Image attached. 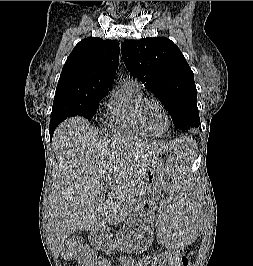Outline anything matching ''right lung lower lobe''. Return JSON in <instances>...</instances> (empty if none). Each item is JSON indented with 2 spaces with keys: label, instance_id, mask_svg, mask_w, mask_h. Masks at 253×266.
Returning a JSON list of instances; mask_svg holds the SVG:
<instances>
[{
  "label": "right lung lower lobe",
  "instance_id": "98d812e1",
  "mask_svg": "<svg viewBox=\"0 0 253 266\" xmlns=\"http://www.w3.org/2000/svg\"><path fill=\"white\" fill-rule=\"evenodd\" d=\"M59 123H55V124H50L49 127V132H50V139L52 140V136L54 133V130L56 129V127L58 126Z\"/></svg>",
  "mask_w": 253,
  "mask_h": 266
}]
</instances>
